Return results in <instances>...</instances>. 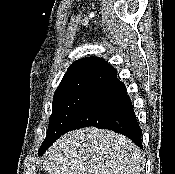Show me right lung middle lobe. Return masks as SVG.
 <instances>
[{
  "mask_svg": "<svg viewBox=\"0 0 175 174\" xmlns=\"http://www.w3.org/2000/svg\"><path fill=\"white\" fill-rule=\"evenodd\" d=\"M90 92H74L55 96L52 103V115L50 116L47 136L41 146L53 144L65 133L67 126L75 116Z\"/></svg>",
  "mask_w": 175,
  "mask_h": 174,
  "instance_id": "right-lung-middle-lobe-1",
  "label": "right lung middle lobe"
}]
</instances>
